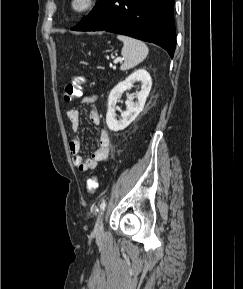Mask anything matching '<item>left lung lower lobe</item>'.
Returning <instances> with one entry per match:
<instances>
[{
    "mask_svg": "<svg viewBox=\"0 0 243 289\" xmlns=\"http://www.w3.org/2000/svg\"><path fill=\"white\" fill-rule=\"evenodd\" d=\"M174 0H98L74 31H101L131 36L164 48L173 57L176 33Z\"/></svg>",
    "mask_w": 243,
    "mask_h": 289,
    "instance_id": "0a47b994",
    "label": "left lung lower lobe"
}]
</instances>
